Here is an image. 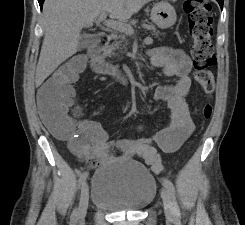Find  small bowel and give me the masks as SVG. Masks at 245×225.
Masks as SVG:
<instances>
[{"instance_id": "small-bowel-1", "label": "small bowel", "mask_w": 245, "mask_h": 225, "mask_svg": "<svg viewBox=\"0 0 245 225\" xmlns=\"http://www.w3.org/2000/svg\"><path fill=\"white\" fill-rule=\"evenodd\" d=\"M148 57L151 66L162 67L165 76L177 79L174 84L160 85L155 90V99L165 102L170 110L167 125L151 137L110 141L107 131L99 121H86L80 124L86 130V134L77 139L72 150L75 155L105 165L114 159L109 149L116 146L121 149L124 158L142 159L158 174V166L161 163L156 146L164 153H174L191 136L194 124L189 117L187 106V96L192 85L190 57L183 49L167 46L151 49ZM73 95L71 87L66 98L57 100L40 89L37 92V101L42 109L44 122L50 124L61 120L72 105ZM130 129L143 131L144 126L135 123Z\"/></svg>"}]
</instances>
